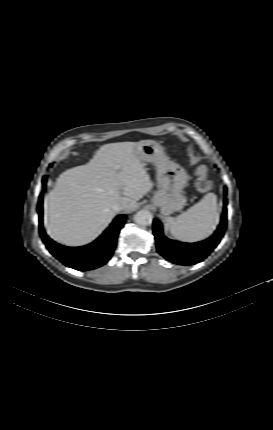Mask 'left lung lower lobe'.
<instances>
[{
    "label": "left lung lower lobe",
    "instance_id": "obj_1",
    "mask_svg": "<svg viewBox=\"0 0 273 430\" xmlns=\"http://www.w3.org/2000/svg\"><path fill=\"white\" fill-rule=\"evenodd\" d=\"M227 205V199H224ZM227 222V208L224 207L221 223L213 236L197 243H182L163 235L161 223L154 220L153 232L157 251L167 260L178 265H192L203 261L217 246L224 235Z\"/></svg>",
    "mask_w": 273,
    "mask_h": 430
}]
</instances>
